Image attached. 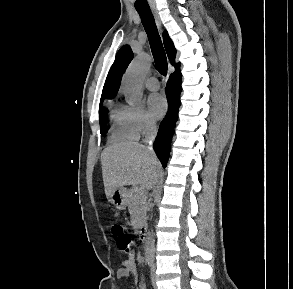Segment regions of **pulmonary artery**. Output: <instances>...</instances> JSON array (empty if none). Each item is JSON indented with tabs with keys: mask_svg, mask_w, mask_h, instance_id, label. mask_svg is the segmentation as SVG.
<instances>
[{
	"mask_svg": "<svg viewBox=\"0 0 293 289\" xmlns=\"http://www.w3.org/2000/svg\"><path fill=\"white\" fill-rule=\"evenodd\" d=\"M146 87L151 91H156L160 88V83L157 78L150 77L146 80Z\"/></svg>",
	"mask_w": 293,
	"mask_h": 289,
	"instance_id": "obj_1",
	"label": "pulmonary artery"
}]
</instances>
